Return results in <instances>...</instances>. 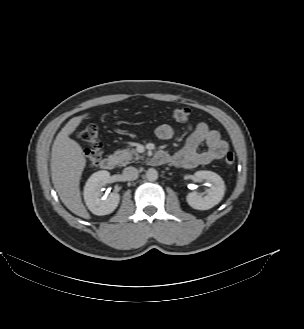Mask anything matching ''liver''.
<instances>
[{"mask_svg": "<svg viewBox=\"0 0 304 329\" xmlns=\"http://www.w3.org/2000/svg\"><path fill=\"white\" fill-rule=\"evenodd\" d=\"M88 114L74 117L56 136L51 152V177L61 201L74 214L90 219L82 203L79 183L86 165L81 146L69 135L80 125Z\"/></svg>", "mask_w": 304, "mask_h": 329, "instance_id": "obj_1", "label": "liver"}]
</instances>
